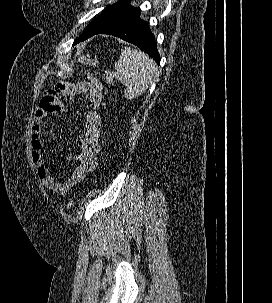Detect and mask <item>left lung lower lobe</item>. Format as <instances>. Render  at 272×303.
<instances>
[{
	"label": "left lung lower lobe",
	"instance_id": "left-lung-lower-lobe-1",
	"mask_svg": "<svg viewBox=\"0 0 272 303\" xmlns=\"http://www.w3.org/2000/svg\"><path fill=\"white\" fill-rule=\"evenodd\" d=\"M139 15L140 9L135 7L121 11L81 34L74 44L99 33L110 34L138 46L159 64L160 55L157 50L155 37L150 31L148 23L142 20Z\"/></svg>",
	"mask_w": 272,
	"mask_h": 303
}]
</instances>
